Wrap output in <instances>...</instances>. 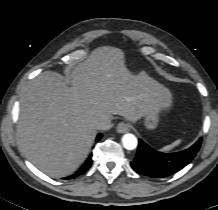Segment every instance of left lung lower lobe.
<instances>
[{
    "label": "left lung lower lobe",
    "instance_id": "left-lung-lower-lobe-1",
    "mask_svg": "<svg viewBox=\"0 0 218 210\" xmlns=\"http://www.w3.org/2000/svg\"><path fill=\"white\" fill-rule=\"evenodd\" d=\"M201 141L202 138L184 151L166 154L152 149L145 142L139 140L137 154L131 162V167L137 173L152 178L167 177L192 161L200 148Z\"/></svg>",
    "mask_w": 218,
    "mask_h": 210
}]
</instances>
